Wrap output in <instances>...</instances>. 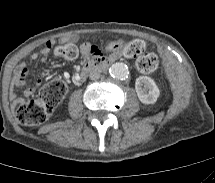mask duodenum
Listing matches in <instances>:
<instances>
[{"mask_svg":"<svg viewBox=\"0 0 215 183\" xmlns=\"http://www.w3.org/2000/svg\"><path fill=\"white\" fill-rule=\"evenodd\" d=\"M111 62H112V59H104V58L90 60L82 67L76 83L82 81L88 73L104 68L108 66Z\"/></svg>","mask_w":215,"mask_h":183,"instance_id":"duodenum-1","label":"duodenum"}]
</instances>
